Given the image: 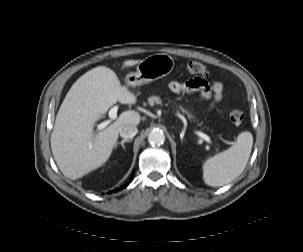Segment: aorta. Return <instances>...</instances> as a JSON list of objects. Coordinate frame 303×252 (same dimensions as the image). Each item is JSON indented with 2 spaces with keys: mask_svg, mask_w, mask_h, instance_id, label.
<instances>
[{
  "mask_svg": "<svg viewBox=\"0 0 303 252\" xmlns=\"http://www.w3.org/2000/svg\"><path fill=\"white\" fill-rule=\"evenodd\" d=\"M148 141L153 145H161L165 141V135L162 130L155 129L149 133Z\"/></svg>",
  "mask_w": 303,
  "mask_h": 252,
  "instance_id": "aorta-1",
  "label": "aorta"
}]
</instances>
